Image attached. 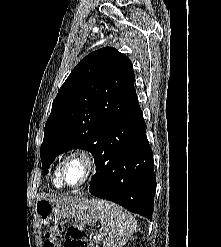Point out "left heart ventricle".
<instances>
[{"instance_id": "1", "label": "left heart ventricle", "mask_w": 221, "mask_h": 247, "mask_svg": "<svg viewBox=\"0 0 221 247\" xmlns=\"http://www.w3.org/2000/svg\"><path fill=\"white\" fill-rule=\"evenodd\" d=\"M85 175V167L82 161L73 159L68 162L65 170V179L69 184H76L82 180Z\"/></svg>"}]
</instances>
